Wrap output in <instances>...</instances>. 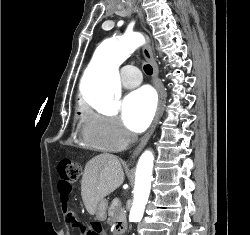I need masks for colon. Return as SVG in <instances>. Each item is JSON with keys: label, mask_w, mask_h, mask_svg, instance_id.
Instances as JSON below:
<instances>
[{"label": "colon", "mask_w": 250, "mask_h": 235, "mask_svg": "<svg viewBox=\"0 0 250 235\" xmlns=\"http://www.w3.org/2000/svg\"><path fill=\"white\" fill-rule=\"evenodd\" d=\"M57 171L59 175V195L69 196L72 191V185L77 181L78 177L80 176L81 167L77 162L70 159H65L59 162L57 166ZM65 220L79 232L84 231L85 226L76 219L75 215L72 212H65Z\"/></svg>", "instance_id": "obj_1"}]
</instances>
